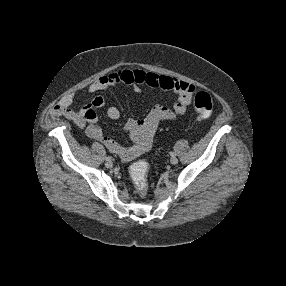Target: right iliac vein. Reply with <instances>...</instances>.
<instances>
[{
	"label": "right iliac vein",
	"instance_id": "1",
	"mask_svg": "<svg viewBox=\"0 0 286 286\" xmlns=\"http://www.w3.org/2000/svg\"><path fill=\"white\" fill-rule=\"evenodd\" d=\"M106 168H112L113 167V162L112 161H107L105 163Z\"/></svg>",
	"mask_w": 286,
	"mask_h": 286
}]
</instances>
